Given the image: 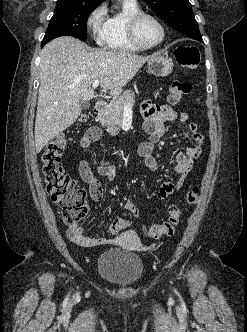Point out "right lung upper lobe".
<instances>
[{
    "instance_id": "1",
    "label": "right lung upper lobe",
    "mask_w": 247,
    "mask_h": 332,
    "mask_svg": "<svg viewBox=\"0 0 247 332\" xmlns=\"http://www.w3.org/2000/svg\"><path fill=\"white\" fill-rule=\"evenodd\" d=\"M90 1L102 2L103 0H90Z\"/></svg>"
}]
</instances>
